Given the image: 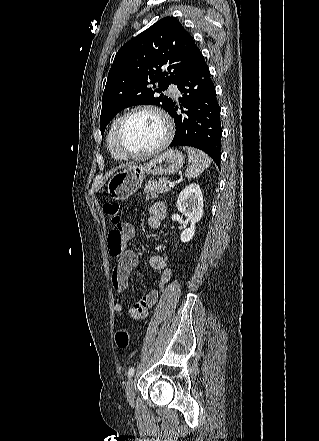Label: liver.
I'll return each mask as SVG.
<instances>
[{
	"label": "liver",
	"mask_w": 319,
	"mask_h": 441,
	"mask_svg": "<svg viewBox=\"0 0 319 441\" xmlns=\"http://www.w3.org/2000/svg\"><path fill=\"white\" fill-rule=\"evenodd\" d=\"M133 164H134L133 162L132 163H126L124 165L119 166V168H127V167H129V166H131Z\"/></svg>",
	"instance_id": "obj_1"
}]
</instances>
